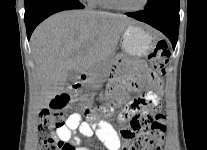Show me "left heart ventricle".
Listing matches in <instances>:
<instances>
[{"label":"left heart ventricle","mask_w":207,"mask_h":150,"mask_svg":"<svg viewBox=\"0 0 207 150\" xmlns=\"http://www.w3.org/2000/svg\"><path fill=\"white\" fill-rule=\"evenodd\" d=\"M144 0H119L120 4L128 9H135L143 4Z\"/></svg>","instance_id":"b2bd125f"}]
</instances>
